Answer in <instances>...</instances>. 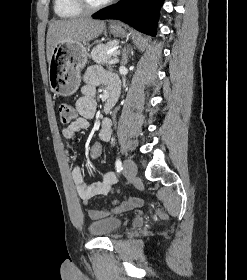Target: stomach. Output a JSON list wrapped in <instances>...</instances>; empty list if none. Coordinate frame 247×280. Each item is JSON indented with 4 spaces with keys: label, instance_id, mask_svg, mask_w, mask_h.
Masks as SVG:
<instances>
[{
    "label": "stomach",
    "instance_id": "1",
    "mask_svg": "<svg viewBox=\"0 0 247 280\" xmlns=\"http://www.w3.org/2000/svg\"><path fill=\"white\" fill-rule=\"evenodd\" d=\"M110 32L121 37L126 31L120 24L110 25ZM89 54L81 42H60L53 49L49 63L50 88L62 96L72 95L81 82V70L88 61Z\"/></svg>",
    "mask_w": 247,
    "mask_h": 280
}]
</instances>
